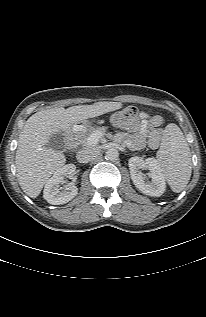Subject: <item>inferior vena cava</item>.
Listing matches in <instances>:
<instances>
[{"label":"inferior vena cava","mask_w":206,"mask_h":317,"mask_svg":"<svg viewBox=\"0 0 206 317\" xmlns=\"http://www.w3.org/2000/svg\"><path fill=\"white\" fill-rule=\"evenodd\" d=\"M94 155H95L94 150L89 148H84L78 151L76 158L80 163H87L94 157Z\"/></svg>","instance_id":"1"}]
</instances>
